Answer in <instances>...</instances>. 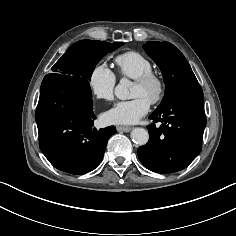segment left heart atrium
Segmentation results:
<instances>
[{
    "mask_svg": "<svg viewBox=\"0 0 236 236\" xmlns=\"http://www.w3.org/2000/svg\"><path fill=\"white\" fill-rule=\"evenodd\" d=\"M150 108V101L142 96L131 100L120 101L103 115L108 124H133L146 115Z\"/></svg>",
    "mask_w": 236,
    "mask_h": 236,
    "instance_id": "left-heart-atrium-1",
    "label": "left heart atrium"
}]
</instances>
